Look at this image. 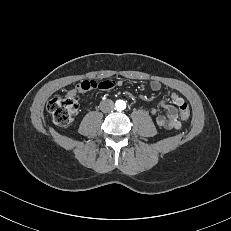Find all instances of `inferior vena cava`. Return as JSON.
Masks as SVG:
<instances>
[{"label": "inferior vena cava", "mask_w": 231, "mask_h": 231, "mask_svg": "<svg viewBox=\"0 0 231 231\" xmlns=\"http://www.w3.org/2000/svg\"><path fill=\"white\" fill-rule=\"evenodd\" d=\"M113 108H114V103L110 99H107V100L100 102V109L102 112H109V111L113 110Z\"/></svg>", "instance_id": "inferior-vena-cava-1"}]
</instances>
